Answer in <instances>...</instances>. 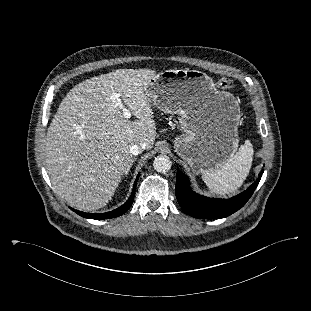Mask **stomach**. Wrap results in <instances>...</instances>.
<instances>
[{"label": "stomach", "instance_id": "stomach-1", "mask_svg": "<svg viewBox=\"0 0 311 311\" xmlns=\"http://www.w3.org/2000/svg\"><path fill=\"white\" fill-rule=\"evenodd\" d=\"M146 91L157 108L180 116L184 134L175 138L174 148L194 173L218 169L236 154L239 104L232 94L217 90L207 74L165 70L149 80Z\"/></svg>", "mask_w": 311, "mask_h": 311}]
</instances>
